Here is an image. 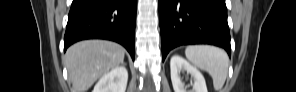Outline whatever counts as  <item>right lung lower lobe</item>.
<instances>
[{"label": "right lung lower lobe", "instance_id": "98d812e1", "mask_svg": "<svg viewBox=\"0 0 296 92\" xmlns=\"http://www.w3.org/2000/svg\"><path fill=\"white\" fill-rule=\"evenodd\" d=\"M137 0H73L64 36V50L84 39L122 44L134 60Z\"/></svg>", "mask_w": 296, "mask_h": 92}]
</instances>
